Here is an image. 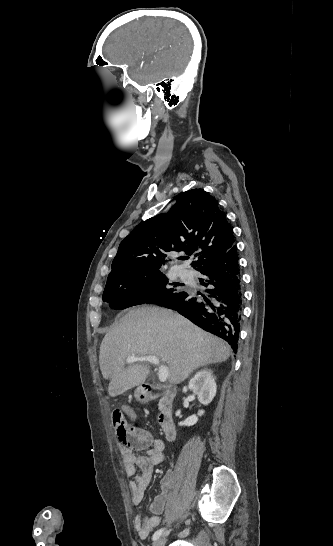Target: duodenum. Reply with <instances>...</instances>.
<instances>
[{
    "mask_svg": "<svg viewBox=\"0 0 333 546\" xmlns=\"http://www.w3.org/2000/svg\"><path fill=\"white\" fill-rule=\"evenodd\" d=\"M141 393L144 399H160L161 409L158 414V421L166 440L173 441L176 435L175 423L172 415L173 402L177 394L175 387L170 385H143Z\"/></svg>",
    "mask_w": 333,
    "mask_h": 546,
    "instance_id": "1",
    "label": "duodenum"
}]
</instances>
